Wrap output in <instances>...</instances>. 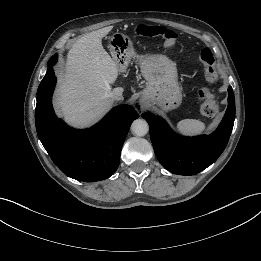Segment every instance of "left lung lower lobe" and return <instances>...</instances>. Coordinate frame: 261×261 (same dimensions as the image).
Instances as JSON below:
<instances>
[{
  "instance_id": "left-lung-lower-lobe-1",
  "label": "left lung lower lobe",
  "mask_w": 261,
  "mask_h": 261,
  "mask_svg": "<svg viewBox=\"0 0 261 261\" xmlns=\"http://www.w3.org/2000/svg\"><path fill=\"white\" fill-rule=\"evenodd\" d=\"M228 108L217 130L211 135L184 138L176 135L168 124L149 113L147 120L155 154L168 171L179 175H194L214 163L225 149L235 119V99L228 88Z\"/></svg>"
}]
</instances>
